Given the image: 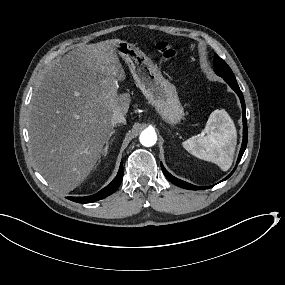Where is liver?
Segmentation results:
<instances>
[{
    "mask_svg": "<svg viewBox=\"0 0 285 285\" xmlns=\"http://www.w3.org/2000/svg\"><path fill=\"white\" fill-rule=\"evenodd\" d=\"M116 42L68 52L36 84L27 122L29 152L38 171L62 194L80 185L101 158L114 112H128L130 94H117L125 72Z\"/></svg>",
    "mask_w": 285,
    "mask_h": 285,
    "instance_id": "obj_1",
    "label": "liver"
}]
</instances>
